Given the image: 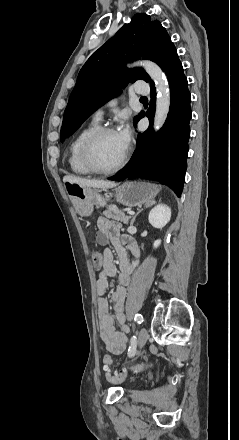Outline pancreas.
I'll return each instance as SVG.
<instances>
[{
  "instance_id": "pancreas-1",
  "label": "pancreas",
  "mask_w": 239,
  "mask_h": 440,
  "mask_svg": "<svg viewBox=\"0 0 239 440\" xmlns=\"http://www.w3.org/2000/svg\"><path fill=\"white\" fill-rule=\"evenodd\" d=\"M106 218H112V220H119V222H123V224H128L131 216H125L123 210H118L117 206L111 204V206H107V210L103 212Z\"/></svg>"
}]
</instances>
